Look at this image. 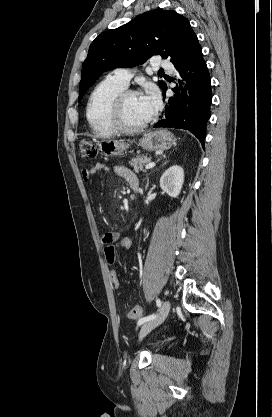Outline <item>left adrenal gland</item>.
Segmentation results:
<instances>
[{"label": "left adrenal gland", "mask_w": 272, "mask_h": 417, "mask_svg": "<svg viewBox=\"0 0 272 417\" xmlns=\"http://www.w3.org/2000/svg\"><path fill=\"white\" fill-rule=\"evenodd\" d=\"M166 164V162L164 163V165ZM148 185H149V179L147 178V184H146V188L148 187Z\"/></svg>", "instance_id": "1"}]
</instances>
